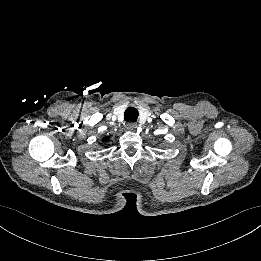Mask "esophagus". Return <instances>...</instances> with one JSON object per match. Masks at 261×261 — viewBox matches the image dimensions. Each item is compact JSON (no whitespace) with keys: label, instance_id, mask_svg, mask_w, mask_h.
<instances>
[{"label":"esophagus","instance_id":"obj_1","mask_svg":"<svg viewBox=\"0 0 261 261\" xmlns=\"http://www.w3.org/2000/svg\"><path fill=\"white\" fill-rule=\"evenodd\" d=\"M137 126H138V124H137L136 122H128V123L126 124V128H127L128 130H134V129L137 128Z\"/></svg>","mask_w":261,"mask_h":261}]
</instances>
